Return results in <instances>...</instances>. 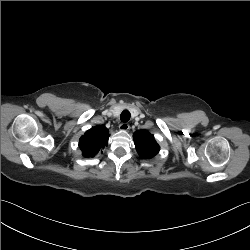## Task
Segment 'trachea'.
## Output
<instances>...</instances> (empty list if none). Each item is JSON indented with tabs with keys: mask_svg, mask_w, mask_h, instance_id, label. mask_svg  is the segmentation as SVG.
<instances>
[{
	"mask_svg": "<svg viewBox=\"0 0 250 250\" xmlns=\"http://www.w3.org/2000/svg\"><path fill=\"white\" fill-rule=\"evenodd\" d=\"M130 112L128 110H124L121 115H120V119L122 122H128L130 120Z\"/></svg>",
	"mask_w": 250,
	"mask_h": 250,
	"instance_id": "1",
	"label": "trachea"
}]
</instances>
